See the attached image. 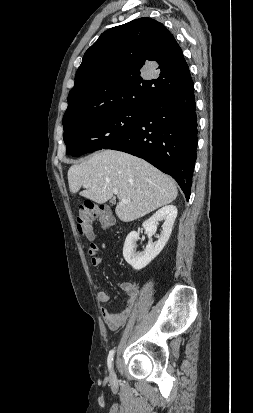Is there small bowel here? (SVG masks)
<instances>
[{
	"label": "small bowel",
	"mask_w": 253,
	"mask_h": 413,
	"mask_svg": "<svg viewBox=\"0 0 253 413\" xmlns=\"http://www.w3.org/2000/svg\"><path fill=\"white\" fill-rule=\"evenodd\" d=\"M104 247V244L91 243L88 253L91 256L90 263L93 268L101 266L104 262V257L99 255L100 249ZM119 286L127 294L125 308L120 312H111L105 307L101 308L103 320L112 330H117L127 321L136 306L140 294L139 288L133 283L121 282ZM97 300L101 304H107L110 301V295L105 291H99L97 293Z\"/></svg>",
	"instance_id": "small-bowel-1"
}]
</instances>
